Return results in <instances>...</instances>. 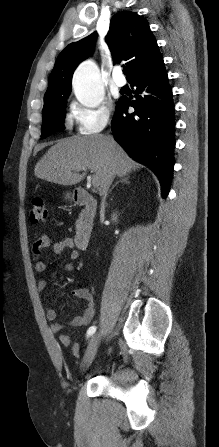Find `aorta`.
I'll return each instance as SVG.
<instances>
[{
  "instance_id": "aorta-1",
  "label": "aorta",
  "mask_w": 219,
  "mask_h": 447,
  "mask_svg": "<svg viewBox=\"0 0 219 447\" xmlns=\"http://www.w3.org/2000/svg\"><path fill=\"white\" fill-rule=\"evenodd\" d=\"M73 88L82 105L96 108L102 103L104 90L95 62L87 60L78 66L73 76Z\"/></svg>"
}]
</instances>
